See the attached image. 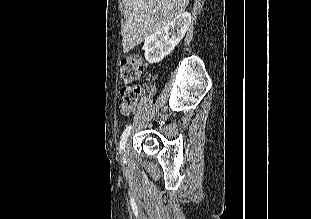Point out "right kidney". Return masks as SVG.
Listing matches in <instances>:
<instances>
[{"label":"right kidney","instance_id":"obj_1","mask_svg":"<svg viewBox=\"0 0 311 219\" xmlns=\"http://www.w3.org/2000/svg\"><path fill=\"white\" fill-rule=\"evenodd\" d=\"M190 22V13H181L160 30L147 37L143 46L145 59L153 64L160 62L170 54L184 37Z\"/></svg>","mask_w":311,"mask_h":219}]
</instances>
